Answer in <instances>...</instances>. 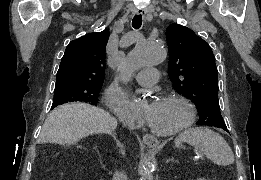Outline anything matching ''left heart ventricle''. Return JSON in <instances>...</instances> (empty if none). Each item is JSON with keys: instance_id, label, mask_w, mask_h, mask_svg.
<instances>
[{"instance_id": "left-heart-ventricle-1", "label": "left heart ventricle", "mask_w": 261, "mask_h": 180, "mask_svg": "<svg viewBox=\"0 0 261 180\" xmlns=\"http://www.w3.org/2000/svg\"><path fill=\"white\" fill-rule=\"evenodd\" d=\"M186 114L185 106L178 100L162 98L145 120L152 134H170L179 130Z\"/></svg>"}]
</instances>
